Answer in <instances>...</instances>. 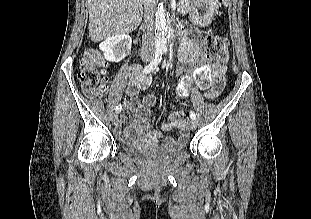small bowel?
I'll return each mask as SVG.
<instances>
[{
    "label": "small bowel",
    "instance_id": "1",
    "mask_svg": "<svg viewBox=\"0 0 311 219\" xmlns=\"http://www.w3.org/2000/svg\"><path fill=\"white\" fill-rule=\"evenodd\" d=\"M198 61V41L191 38L186 31L181 33L180 49H179V66L177 73L181 75L187 67L194 66ZM131 82L127 88L129 99L126 106L130 113L122 117L119 133L125 138L142 136L146 141H157L164 137V132L178 130V143L184 142L187 137L185 113L183 110L172 111L166 115L165 119L160 123L159 129H153L149 125L150 108L155 106L157 98L153 94L145 95L139 100L138 94L141 90H145L150 86L151 76L140 73L139 67L134 66L132 69ZM187 84V82H185ZM224 86L223 74L214 72L212 84L205 93L208 99L216 98L222 91ZM180 96L186 95V92H180Z\"/></svg>",
    "mask_w": 311,
    "mask_h": 219
}]
</instances>
